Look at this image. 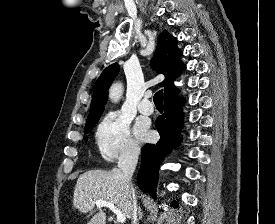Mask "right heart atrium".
<instances>
[{"instance_id": "right-heart-atrium-1", "label": "right heart atrium", "mask_w": 275, "mask_h": 224, "mask_svg": "<svg viewBox=\"0 0 275 224\" xmlns=\"http://www.w3.org/2000/svg\"><path fill=\"white\" fill-rule=\"evenodd\" d=\"M95 142L101 156L109 162L120 158L132 159L139 154L129 120L119 112H111L103 117L95 132Z\"/></svg>"}]
</instances>
